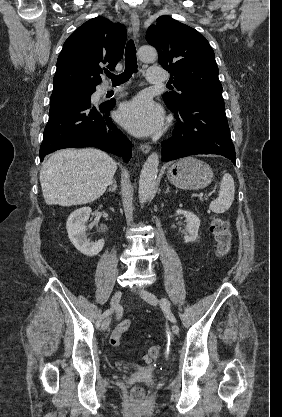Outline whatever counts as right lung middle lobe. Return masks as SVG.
Listing matches in <instances>:
<instances>
[{
	"instance_id": "1",
	"label": "right lung middle lobe",
	"mask_w": 282,
	"mask_h": 417,
	"mask_svg": "<svg viewBox=\"0 0 282 417\" xmlns=\"http://www.w3.org/2000/svg\"><path fill=\"white\" fill-rule=\"evenodd\" d=\"M93 92H95V89L52 94L51 99H50V105L60 103L66 100L74 99V98L91 96Z\"/></svg>"
}]
</instances>
